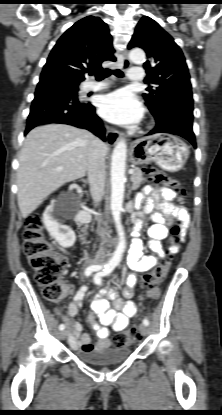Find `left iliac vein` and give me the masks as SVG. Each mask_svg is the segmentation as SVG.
Instances as JSON below:
<instances>
[{
  "label": "left iliac vein",
  "mask_w": 222,
  "mask_h": 415,
  "mask_svg": "<svg viewBox=\"0 0 222 415\" xmlns=\"http://www.w3.org/2000/svg\"><path fill=\"white\" fill-rule=\"evenodd\" d=\"M139 330L143 336H146L148 334V327L145 324H141L139 326Z\"/></svg>",
  "instance_id": "1"
}]
</instances>
